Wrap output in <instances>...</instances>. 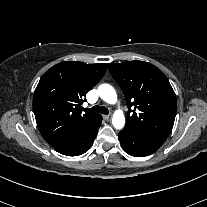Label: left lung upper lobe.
<instances>
[{"label":"left lung upper lobe","instance_id":"1","mask_svg":"<svg viewBox=\"0 0 207 207\" xmlns=\"http://www.w3.org/2000/svg\"><path fill=\"white\" fill-rule=\"evenodd\" d=\"M107 65L127 100L125 128L166 140L177 111L176 96L166 76L144 61Z\"/></svg>","mask_w":207,"mask_h":207}]
</instances>
